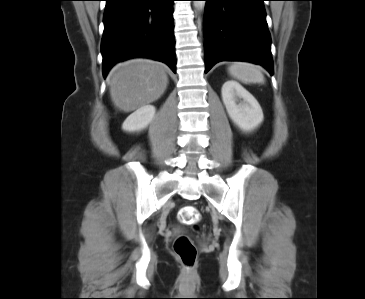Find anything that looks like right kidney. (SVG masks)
Segmentation results:
<instances>
[{
  "label": "right kidney",
  "instance_id": "right-kidney-1",
  "mask_svg": "<svg viewBox=\"0 0 365 299\" xmlns=\"http://www.w3.org/2000/svg\"><path fill=\"white\" fill-rule=\"evenodd\" d=\"M156 108L153 105H145L129 115L122 125L126 132H137L145 129L154 119Z\"/></svg>",
  "mask_w": 365,
  "mask_h": 299
}]
</instances>
